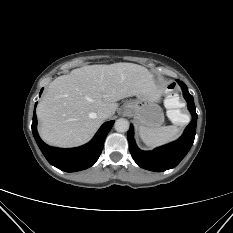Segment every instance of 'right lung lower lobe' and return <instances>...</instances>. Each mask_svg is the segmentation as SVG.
I'll use <instances>...</instances> for the list:
<instances>
[{
	"instance_id": "1",
	"label": "right lung lower lobe",
	"mask_w": 233,
	"mask_h": 233,
	"mask_svg": "<svg viewBox=\"0 0 233 233\" xmlns=\"http://www.w3.org/2000/svg\"><path fill=\"white\" fill-rule=\"evenodd\" d=\"M36 124L37 118L34 108L32 132L41 152L48 162L56 168L66 172H75L87 169L97 161L102 152L104 140L114 121L104 123L91 143L72 149L53 148L45 144L37 133Z\"/></svg>"
}]
</instances>
